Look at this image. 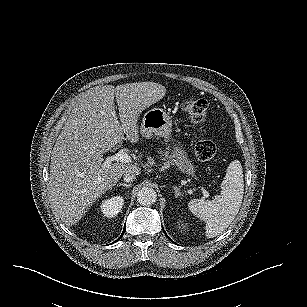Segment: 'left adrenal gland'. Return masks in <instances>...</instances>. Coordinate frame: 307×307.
<instances>
[{"mask_svg":"<svg viewBox=\"0 0 307 307\" xmlns=\"http://www.w3.org/2000/svg\"><path fill=\"white\" fill-rule=\"evenodd\" d=\"M174 189V196L177 198L178 196H184V193L181 192L180 188L178 186L173 185Z\"/></svg>","mask_w":307,"mask_h":307,"instance_id":"a2214340","label":"left adrenal gland"}]
</instances>
